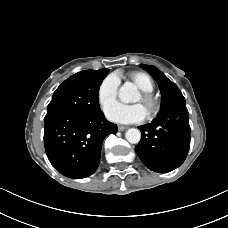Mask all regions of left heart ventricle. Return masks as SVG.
<instances>
[{
    "mask_svg": "<svg viewBox=\"0 0 228 228\" xmlns=\"http://www.w3.org/2000/svg\"><path fill=\"white\" fill-rule=\"evenodd\" d=\"M135 102L141 103V104L145 107V109L147 110V107H146V106L144 105V103L142 102L141 95L135 100Z\"/></svg>",
    "mask_w": 228,
    "mask_h": 228,
    "instance_id": "1",
    "label": "left heart ventricle"
}]
</instances>
